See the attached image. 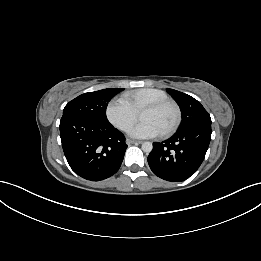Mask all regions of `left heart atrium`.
<instances>
[{
  "label": "left heart atrium",
  "instance_id": "1",
  "mask_svg": "<svg viewBox=\"0 0 261 261\" xmlns=\"http://www.w3.org/2000/svg\"><path fill=\"white\" fill-rule=\"evenodd\" d=\"M163 131L152 121L142 120L135 124L129 131V134L136 138H154L158 137Z\"/></svg>",
  "mask_w": 261,
  "mask_h": 261
}]
</instances>
